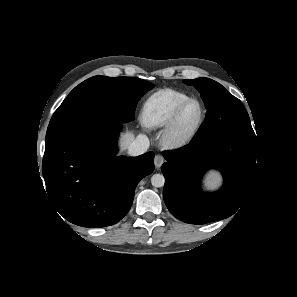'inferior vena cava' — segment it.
Here are the masks:
<instances>
[{
	"label": "inferior vena cava",
	"instance_id": "inferior-vena-cava-1",
	"mask_svg": "<svg viewBox=\"0 0 297 297\" xmlns=\"http://www.w3.org/2000/svg\"><path fill=\"white\" fill-rule=\"evenodd\" d=\"M149 138L144 134H139L128 147L130 156H138L144 154L149 148Z\"/></svg>",
	"mask_w": 297,
	"mask_h": 297
}]
</instances>
